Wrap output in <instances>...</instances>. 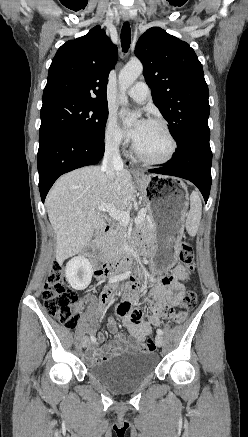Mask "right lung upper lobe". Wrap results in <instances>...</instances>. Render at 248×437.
Returning <instances> with one entry per match:
<instances>
[{"mask_svg":"<svg viewBox=\"0 0 248 437\" xmlns=\"http://www.w3.org/2000/svg\"><path fill=\"white\" fill-rule=\"evenodd\" d=\"M118 49L98 26L63 44L49 68L43 99L65 96L107 104V81Z\"/></svg>","mask_w":248,"mask_h":437,"instance_id":"obj_1","label":"right lung upper lobe"}]
</instances>
